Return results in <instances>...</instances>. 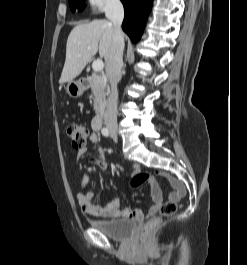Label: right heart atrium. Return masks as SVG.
<instances>
[{
    "mask_svg": "<svg viewBox=\"0 0 247 265\" xmlns=\"http://www.w3.org/2000/svg\"><path fill=\"white\" fill-rule=\"evenodd\" d=\"M91 7L98 10H110L116 7L119 0H88Z\"/></svg>",
    "mask_w": 247,
    "mask_h": 265,
    "instance_id": "d8ad5b80",
    "label": "right heart atrium"
}]
</instances>
